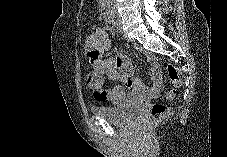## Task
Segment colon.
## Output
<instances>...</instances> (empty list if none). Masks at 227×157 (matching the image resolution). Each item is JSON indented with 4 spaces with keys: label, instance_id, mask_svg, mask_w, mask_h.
Here are the masks:
<instances>
[{
    "label": "colon",
    "instance_id": "1",
    "mask_svg": "<svg viewBox=\"0 0 227 157\" xmlns=\"http://www.w3.org/2000/svg\"><path fill=\"white\" fill-rule=\"evenodd\" d=\"M168 74L174 85V89H170L165 93V100L172 102L176 96V89H179L182 85L181 76L177 68L173 65L168 66ZM87 84L94 91H101L103 89L104 81L101 74L96 72H90L87 75ZM171 108L163 103H155L151 109V122L153 124L163 121L170 113Z\"/></svg>",
    "mask_w": 227,
    "mask_h": 157
}]
</instances>
